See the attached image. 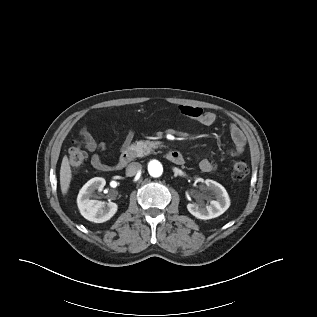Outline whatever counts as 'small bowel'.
Returning <instances> with one entry per match:
<instances>
[{"label":"small bowel","mask_w":317,"mask_h":317,"mask_svg":"<svg viewBox=\"0 0 317 317\" xmlns=\"http://www.w3.org/2000/svg\"><path fill=\"white\" fill-rule=\"evenodd\" d=\"M179 111L182 115L192 118L205 126H210L216 121V115L213 112L206 111L200 107L183 105L179 107ZM229 133L232 147L224 154V159L238 157L244 153L246 148L245 134L236 124L231 123L229 125ZM80 134L85 140L87 150L93 153L91 157L93 167L100 171H107L109 166L102 160L99 154L106 150V144L104 142H96L86 128H83ZM133 137L134 131L130 130L125 136L122 146L126 147L129 145ZM199 168L203 172L210 173L217 169V164L214 161L205 158L200 160Z\"/></svg>","instance_id":"c3829d8e"}]
</instances>
